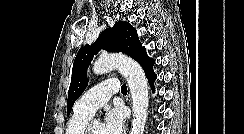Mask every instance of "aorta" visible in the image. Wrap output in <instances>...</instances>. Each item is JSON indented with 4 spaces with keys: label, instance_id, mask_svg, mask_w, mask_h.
Wrapping results in <instances>:
<instances>
[{
    "label": "aorta",
    "instance_id": "obj_1",
    "mask_svg": "<svg viewBox=\"0 0 244 134\" xmlns=\"http://www.w3.org/2000/svg\"><path fill=\"white\" fill-rule=\"evenodd\" d=\"M118 69L125 77L132 97L133 120L130 134H143L148 116V83L142 67L124 55H106L98 58L93 65L97 75Z\"/></svg>",
    "mask_w": 244,
    "mask_h": 134
}]
</instances>
